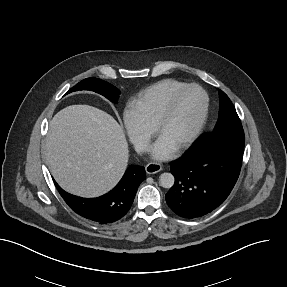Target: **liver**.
I'll return each instance as SVG.
<instances>
[{"label":"liver","mask_w":287,"mask_h":287,"mask_svg":"<svg viewBox=\"0 0 287 287\" xmlns=\"http://www.w3.org/2000/svg\"><path fill=\"white\" fill-rule=\"evenodd\" d=\"M45 158L67 192L97 197L112 189L127 167L129 151L122 127L108 113L72 105L50 121Z\"/></svg>","instance_id":"liver-1"}]
</instances>
